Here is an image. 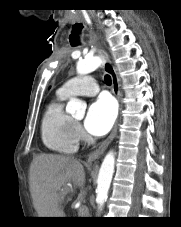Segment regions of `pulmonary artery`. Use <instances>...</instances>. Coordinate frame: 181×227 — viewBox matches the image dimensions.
Returning <instances> with one entry per match:
<instances>
[{
  "instance_id": "e3ab8cb5",
  "label": "pulmonary artery",
  "mask_w": 181,
  "mask_h": 227,
  "mask_svg": "<svg viewBox=\"0 0 181 227\" xmlns=\"http://www.w3.org/2000/svg\"><path fill=\"white\" fill-rule=\"evenodd\" d=\"M58 92L66 97L74 95L94 96L99 92V87L91 77H75L65 82Z\"/></svg>"
}]
</instances>
